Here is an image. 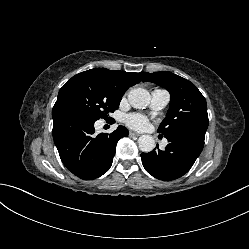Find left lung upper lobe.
<instances>
[{
	"label": "left lung upper lobe",
	"instance_id": "obj_1",
	"mask_svg": "<svg viewBox=\"0 0 249 249\" xmlns=\"http://www.w3.org/2000/svg\"><path fill=\"white\" fill-rule=\"evenodd\" d=\"M144 81L165 88L171 96L169 110L158 128V133L165 136L190 130L206 133L208 128L206 100L192 82L166 71L146 73Z\"/></svg>",
	"mask_w": 249,
	"mask_h": 249
}]
</instances>
